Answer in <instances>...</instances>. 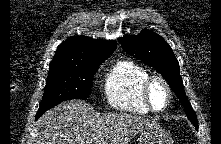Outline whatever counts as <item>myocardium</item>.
Returning <instances> with one entry per match:
<instances>
[{
    "label": "myocardium",
    "mask_w": 221,
    "mask_h": 144,
    "mask_svg": "<svg viewBox=\"0 0 221 144\" xmlns=\"http://www.w3.org/2000/svg\"><path fill=\"white\" fill-rule=\"evenodd\" d=\"M155 82H159L161 83L165 90H166V94H167V101L166 104L163 108L161 109H157L153 106L152 101H151V96H150V91H151V87ZM141 92H142V99L143 102L145 103V105L149 108L150 111L152 112H156V113H160L165 111L170 103H171V99H172V90L171 87L169 85V83L166 81L165 78H163L162 76L159 75H149L143 82L142 87H141Z\"/></svg>",
    "instance_id": "1"
}]
</instances>
